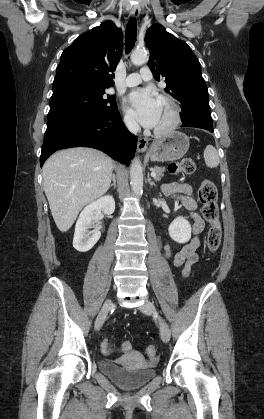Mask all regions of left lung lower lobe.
<instances>
[{"label": "left lung lower lobe", "mask_w": 264, "mask_h": 419, "mask_svg": "<svg viewBox=\"0 0 264 419\" xmlns=\"http://www.w3.org/2000/svg\"><path fill=\"white\" fill-rule=\"evenodd\" d=\"M182 127H195L213 132L212 118L208 100L182 109Z\"/></svg>", "instance_id": "left-lung-lower-lobe-1"}]
</instances>
